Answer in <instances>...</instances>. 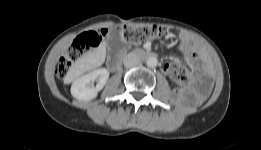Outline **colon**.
Wrapping results in <instances>:
<instances>
[{"mask_svg":"<svg viewBox=\"0 0 261 150\" xmlns=\"http://www.w3.org/2000/svg\"><path fill=\"white\" fill-rule=\"evenodd\" d=\"M123 38L130 44H139L148 39L167 37L169 31L155 25L132 27L124 25L120 28ZM105 28L92 30L77 37L69 46L65 54L59 58L55 72L60 78H65L73 64L88 51L98 47L107 35ZM167 74L177 84L184 85L188 79V73L184 66L178 62L167 64Z\"/></svg>","mask_w":261,"mask_h":150,"instance_id":"colon-1","label":"colon"}]
</instances>
